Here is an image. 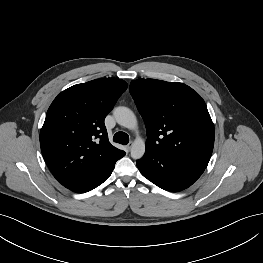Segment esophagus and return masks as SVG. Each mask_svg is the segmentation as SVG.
<instances>
[{
    "label": "esophagus",
    "mask_w": 263,
    "mask_h": 263,
    "mask_svg": "<svg viewBox=\"0 0 263 263\" xmlns=\"http://www.w3.org/2000/svg\"><path fill=\"white\" fill-rule=\"evenodd\" d=\"M130 149H131V144H128V145L126 146V150H127V151H130Z\"/></svg>",
    "instance_id": "esophagus-1"
}]
</instances>
